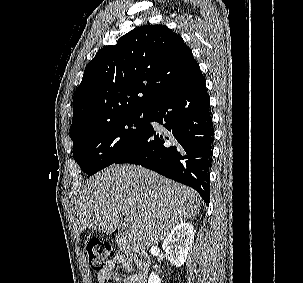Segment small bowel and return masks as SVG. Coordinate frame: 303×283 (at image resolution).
<instances>
[{
  "instance_id": "1",
  "label": "small bowel",
  "mask_w": 303,
  "mask_h": 283,
  "mask_svg": "<svg viewBox=\"0 0 303 283\" xmlns=\"http://www.w3.org/2000/svg\"><path fill=\"white\" fill-rule=\"evenodd\" d=\"M122 268L128 275L122 278L117 270ZM96 283H141L139 274L134 273L133 263L131 259L116 255L111 260H109L102 271H100L95 278Z\"/></svg>"
}]
</instances>
